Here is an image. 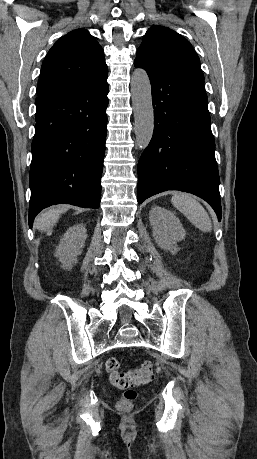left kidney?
I'll use <instances>...</instances> for the list:
<instances>
[{"label":"left kidney","mask_w":257,"mask_h":459,"mask_svg":"<svg viewBox=\"0 0 257 459\" xmlns=\"http://www.w3.org/2000/svg\"><path fill=\"white\" fill-rule=\"evenodd\" d=\"M149 220L156 243L164 250L176 252V244L185 238L186 232L175 214L155 206L149 213Z\"/></svg>","instance_id":"left-kidney-1"}]
</instances>
